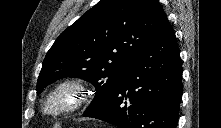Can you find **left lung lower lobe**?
<instances>
[{"instance_id": "0a47b994", "label": "left lung lower lobe", "mask_w": 221, "mask_h": 128, "mask_svg": "<svg viewBox=\"0 0 221 128\" xmlns=\"http://www.w3.org/2000/svg\"><path fill=\"white\" fill-rule=\"evenodd\" d=\"M167 21L128 68L112 96L84 117L119 128H175L182 97V65Z\"/></svg>"}]
</instances>
